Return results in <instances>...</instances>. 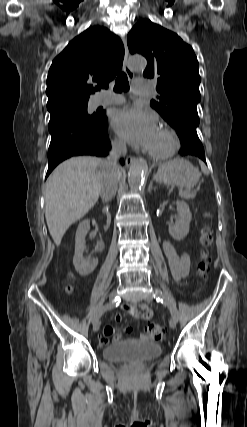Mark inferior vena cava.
Instances as JSON below:
<instances>
[{
	"mask_svg": "<svg viewBox=\"0 0 247 427\" xmlns=\"http://www.w3.org/2000/svg\"><path fill=\"white\" fill-rule=\"evenodd\" d=\"M127 153L126 143L121 140L112 142V150L106 159L107 171L103 176L101 198L103 202L111 200L118 188V182L120 179V167L118 164V158L125 156Z\"/></svg>",
	"mask_w": 247,
	"mask_h": 427,
	"instance_id": "obj_1",
	"label": "inferior vena cava"
}]
</instances>
